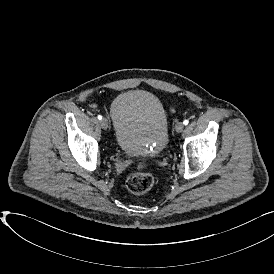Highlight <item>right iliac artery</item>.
Returning a JSON list of instances; mask_svg holds the SVG:
<instances>
[{
    "label": "right iliac artery",
    "mask_w": 274,
    "mask_h": 274,
    "mask_svg": "<svg viewBox=\"0 0 274 274\" xmlns=\"http://www.w3.org/2000/svg\"><path fill=\"white\" fill-rule=\"evenodd\" d=\"M99 120H102V116L101 115H98L97 117Z\"/></svg>",
    "instance_id": "right-iliac-artery-1"
}]
</instances>
